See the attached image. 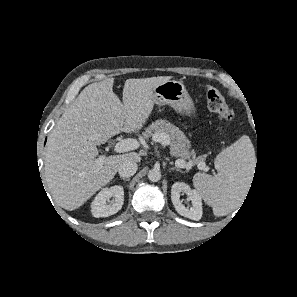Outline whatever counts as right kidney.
Here are the masks:
<instances>
[{"instance_id": "ca27d5eb", "label": "right kidney", "mask_w": 297, "mask_h": 297, "mask_svg": "<svg viewBox=\"0 0 297 297\" xmlns=\"http://www.w3.org/2000/svg\"><path fill=\"white\" fill-rule=\"evenodd\" d=\"M111 197L114 199L110 200ZM124 190L120 185L103 188L91 204L92 215L96 218L108 217L117 213L123 205Z\"/></svg>"}]
</instances>
